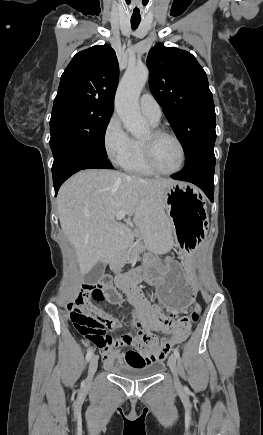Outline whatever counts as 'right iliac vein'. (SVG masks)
I'll list each match as a JSON object with an SVG mask.
<instances>
[{
  "mask_svg": "<svg viewBox=\"0 0 263 435\" xmlns=\"http://www.w3.org/2000/svg\"><path fill=\"white\" fill-rule=\"evenodd\" d=\"M98 367V357L96 355H94L89 363V367H88V377H87V381L91 382L96 370Z\"/></svg>",
  "mask_w": 263,
  "mask_h": 435,
  "instance_id": "1",
  "label": "right iliac vein"
}]
</instances>
